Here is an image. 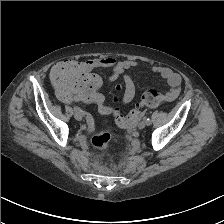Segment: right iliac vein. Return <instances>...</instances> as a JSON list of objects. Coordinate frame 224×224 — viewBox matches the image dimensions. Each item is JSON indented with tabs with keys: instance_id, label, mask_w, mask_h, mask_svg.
Here are the masks:
<instances>
[{
	"instance_id": "63e3f726",
	"label": "right iliac vein",
	"mask_w": 224,
	"mask_h": 224,
	"mask_svg": "<svg viewBox=\"0 0 224 224\" xmlns=\"http://www.w3.org/2000/svg\"><path fill=\"white\" fill-rule=\"evenodd\" d=\"M82 115L78 112H75L74 113V118L77 120V121H81L82 120Z\"/></svg>"
}]
</instances>
